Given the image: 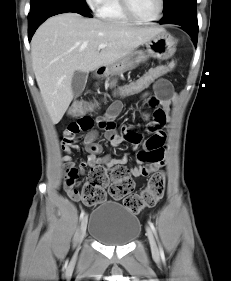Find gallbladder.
I'll list each match as a JSON object with an SVG mask.
<instances>
[{"label":"gallbladder","mask_w":231,"mask_h":281,"mask_svg":"<svg viewBox=\"0 0 231 281\" xmlns=\"http://www.w3.org/2000/svg\"><path fill=\"white\" fill-rule=\"evenodd\" d=\"M88 75L85 72L77 71L72 78V91L75 97H78L84 90Z\"/></svg>","instance_id":"gallbladder-1"}]
</instances>
